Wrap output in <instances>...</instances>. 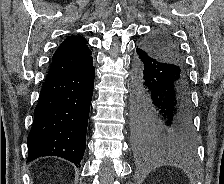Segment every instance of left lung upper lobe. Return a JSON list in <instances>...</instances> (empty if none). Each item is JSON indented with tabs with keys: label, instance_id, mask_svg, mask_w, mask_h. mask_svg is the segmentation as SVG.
Here are the masks:
<instances>
[{
	"label": "left lung upper lobe",
	"instance_id": "obj_1",
	"mask_svg": "<svg viewBox=\"0 0 224 184\" xmlns=\"http://www.w3.org/2000/svg\"><path fill=\"white\" fill-rule=\"evenodd\" d=\"M151 57L183 68V58L176 42L166 34H156L141 46Z\"/></svg>",
	"mask_w": 224,
	"mask_h": 184
}]
</instances>
